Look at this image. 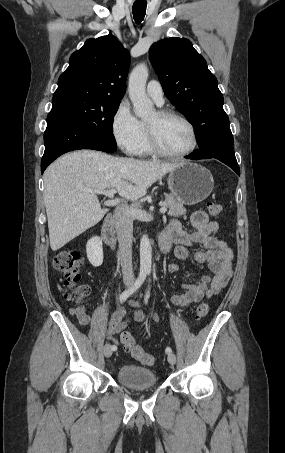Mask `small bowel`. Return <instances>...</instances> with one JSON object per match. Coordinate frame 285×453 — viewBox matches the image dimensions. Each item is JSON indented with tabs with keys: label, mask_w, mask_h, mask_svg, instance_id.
Returning a JSON list of instances; mask_svg holds the SVG:
<instances>
[{
	"label": "small bowel",
	"mask_w": 285,
	"mask_h": 453,
	"mask_svg": "<svg viewBox=\"0 0 285 453\" xmlns=\"http://www.w3.org/2000/svg\"><path fill=\"white\" fill-rule=\"evenodd\" d=\"M190 225L194 229L188 232L183 228L180 220L172 219L166 229L161 234L170 244H176L174 254L177 260H186L191 256L190 247L201 246L203 250L196 251L192 254L195 262L207 263L213 276L208 274L201 277H194L188 283H184L183 293L174 295L172 303L182 307H188L199 302L203 298H210L217 295L229 283L233 274V252L226 242L217 237L219 229L218 223L208 218L204 211H195L190 217ZM170 272H177L179 264L171 262L168 266ZM89 291L88 287H86ZM132 310L119 306L115 309L106 331L109 340L117 344L115 335L123 333L131 320L138 323H144L148 320H157V316L148 317L140 311L139 303L130 301ZM82 325H88L91 322L89 315L85 313L82 305L72 309ZM116 346V345H114Z\"/></svg>",
	"instance_id": "1"
}]
</instances>
